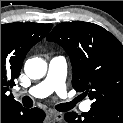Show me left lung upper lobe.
<instances>
[{
	"instance_id": "1",
	"label": "left lung upper lobe",
	"mask_w": 123,
	"mask_h": 123,
	"mask_svg": "<svg viewBox=\"0 0 123 123\" xmlns=\"http://www.w3.org/2000/svg\"><path fill=\"white\" fill-rule=\"evenodd\" d=\"M47 40L69 55L72 85L89 96L91 106L123 109V46L110 32L93 23L64 22L54 27Z\"/></svg>"
}]
</instances>
